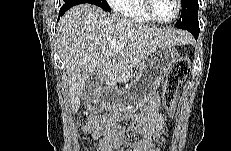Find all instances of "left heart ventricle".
I'll return each instance as SVG.
<instances>
[{
    "label": "left heart ventricle",
    "mask_w": 231,
    "mask_h": 151,
    "mask_svg": "<svg viewBox=\"0 0 231 151\" xmlns=\"http://www.w3.org/2000/svg\"><path fill=\"white\" fill-rule=\"evenodd\" d=\"M154 11L161 19L172 18L176 13L175 0H154Z\"/></svg>",
    "instance_id": "b2bd125f"
}]
</instances>
